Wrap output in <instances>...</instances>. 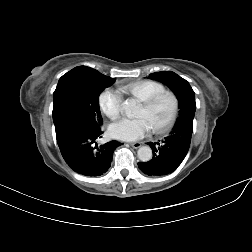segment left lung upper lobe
<instances>
[{
  "label": "left lung upper lobe",
  "mask_w": 252,
  "mask_h": 252,
  "mask_svg": "<svg viewBox=\"0 0 252 252\" xmlns=\"http://www.w3.org/2000/svg\"><path fill=\"white\" fill-rule=\"evenodd\" d=\"M149 78L167 85L178 98L180 111L176 124L182 120L193 122L196 109L195 93L188 81L171 71L152 73Z\"/></svg>",
  "instance_id": "5c2ea615"
}]
</instances>
